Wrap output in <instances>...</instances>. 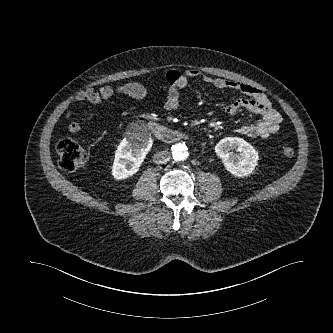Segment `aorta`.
Segmentation results:
<instances>
[{
	"label": "aorta",
	"instance_id": "762f6f07",
	"mask_svg": "<svg viewBox=\"0 0 333 333\" xmlns=\"http://www.w3.org/2000/svg\"><path fill=\"white\" fill-rule=\"evenodd\" d=\"M173 157L177 161H183L188 157L187 146L185 144H175L172 147Z\"/></svg>",
	"mask_w": 333,
	"mask_h": 333
}]
</instances>
